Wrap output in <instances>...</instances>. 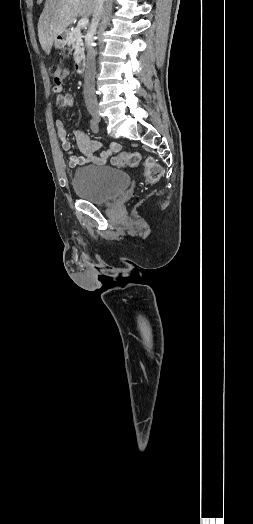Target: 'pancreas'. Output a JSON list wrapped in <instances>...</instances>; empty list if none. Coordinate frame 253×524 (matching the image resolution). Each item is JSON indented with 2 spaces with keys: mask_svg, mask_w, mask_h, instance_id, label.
I'll list each match as a JSON object with an SVG mask.
<instances>
[{
  "mask_svg": "<svg viewBox=\"0 0 253 524\" xmlns=\"http://www.w3.org/2000/svg\"><path fill=\"white\" fill-rule=\"evenodd\" d=\"M83 35L79 28L71 29L66 31V41L73 49L76 50V60L82 59L84 56L83 48Z\"/></svg>",
  "mask_w": 253,
  "mask_h": 524,
  "instance_id": "cf45deb5",
  "label": "pancreas"
}]
</instances>
